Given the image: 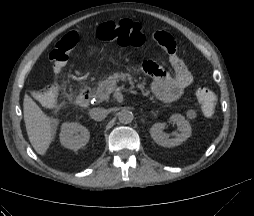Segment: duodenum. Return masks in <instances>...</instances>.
<instances>
[{
    "label": "duodenum",
    "instance_id": "410a0bca",
    "mask_svg": "<svg viewBox=\"0 0 254 216\" xmlns=\"http://www.w3.org/2000/svg\"><path fill=\"white\" fill-rule=\"evenodd\" d=\"M90 97H91V91L89 88H84L80 90V92L76 96L77 105L81 107H86L89 104Z\"/></svg>",
    "mask_w": 254,
    "mask_h": 216
}]
</instances>
